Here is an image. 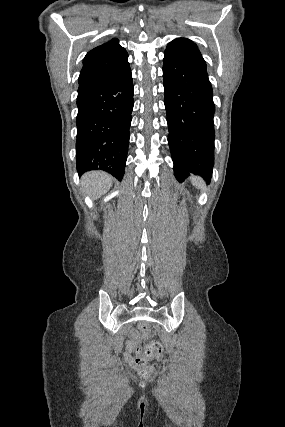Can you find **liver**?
<instances>
[{
    "instance_id": "obj_1",
    "label": "liver",
    "mask_w": 285,
    "mask_h": 427,
    "mask_svg": "<svg viewBox=\"0 0 285 427\" xmlns=\"http://www.w3.org/2000/svg\"><path fill=\"white\" fill-rule=\"evenodd\" d=\"M112 180L113 178L105 172L91 171L82 176L81 183L93 199H98L110 189Z\"/></svg>"
}]
</instances>
